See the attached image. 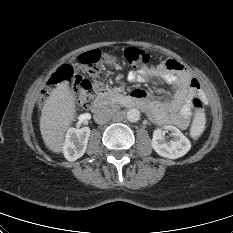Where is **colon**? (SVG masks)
I'll return each mask as SVG.
<instances>
[{
  "label": "colon",
  "instance_id": "colon-1",
  "mask_svg": "<svg viewBox=\"0 0 233 233\" xmlns=\"http://www.w3.org/2000/svg\"><path fill=\"white\" fill-rule=\"evenodd\" d=\"M124 58L133 65L144 67L150 61V56L144 50L135 47L126 48ZM79 62L86 68L91 79L83 78L74 73L70 65H61L49 78L40 95V103H44L51 92L61 83H70L76 103L82 108H89L95 101L96 95L101 88L98 78L101 71V53L99 50H91L79 56ZM191 104L195 109V117L190 129L192 138H198L205 128V115L203 102L198 96L191 98Z\"/></svg>",
  "mask_w": 233,
  "mask_h": 233
}]
</instances>
